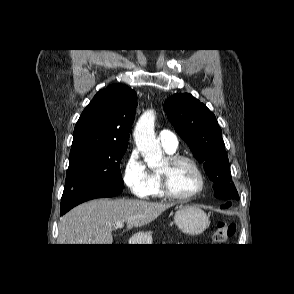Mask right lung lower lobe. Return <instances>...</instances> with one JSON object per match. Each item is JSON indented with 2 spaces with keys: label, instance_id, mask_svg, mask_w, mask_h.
<instances>
[{
  "label": "right lung lower lobe",
  "instance_id": "98d812e1",
  "mask_svg": "<svg viewBox=\"0 0 294 294\" xmlns=\"http://www.w3.org/2000/svg\"><path fill=\"white\" fill-rule=\"evenodd\" d=\"M123 191V188H115V187H105V188H87L84 190L76 191L75 193L68 195L66 197H62L61 199V208L60 215L65 214L73 207L78 204L95 199V198H103V197H113L119 195Z\"/></svg>",
  "mask_w": 294,
  "mask_h": 294
}]
</instances>
